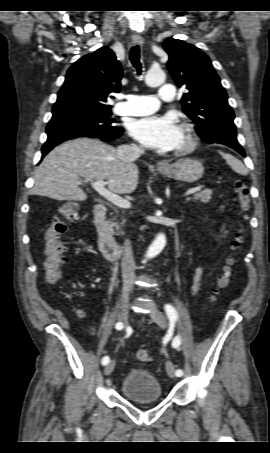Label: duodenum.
Wrapping results in <instances>:
<instances>
[{
    "instance_id": "obj_1",
    "label": "duodenum",
    "mask_w": 270,
    "mask_h": 453,
    "mask_svg": "<svg viewBox=\"0 0 270 453\" xmlns=\"http://www.w3.org/2000/svg\"><path fill=\"white\" fill-rule=\"evenodd\" d=\"M106 212L107 207L104 204H98L94 209V225L98 233L99 248L106 258L117 260L122 255V248L108 226Z\"/></svg>"
}]
</instances>
